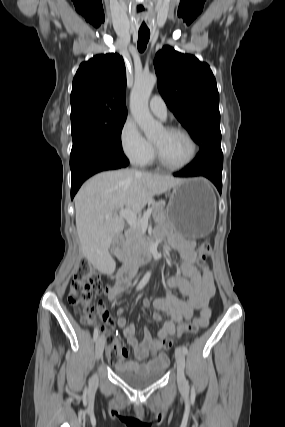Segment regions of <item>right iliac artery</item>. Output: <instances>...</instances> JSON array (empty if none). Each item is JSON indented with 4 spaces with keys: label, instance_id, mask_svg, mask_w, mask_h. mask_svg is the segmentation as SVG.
<instances>
[{
    "label": "right iliac artery",
    "instance_id": "1",
    "mask_svg": "<svg viewBox=\"0 0 285 427\" xmlns=\"http://www.w3.org/2000/svg\"><path fill=\"white\" fill-rule=\"evenodd\" d=\"M150 275H151V272L150 271H148L145 275H144V277L142 278V280L140 281V283L138 284V286H137V290H140V289H142L146 284H147V282H148V280H149V278H150ZM98 329L97 328H95L94 329V334H93V339H94V341H96L97 340V338H98Z\"/></svg>",
    "mask_w": 285,
    "mask_h": 427
}]
</instances>
